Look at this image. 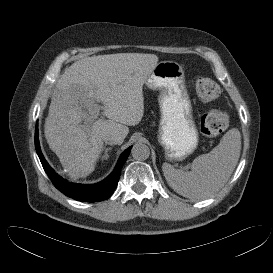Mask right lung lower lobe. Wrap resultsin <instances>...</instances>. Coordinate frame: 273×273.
Listing matches in <instances>:
<instances>
[{"label":"right lung lower lobe","mask_w":273,"mask_h":273,"mask_svg":"<svg viewBox=\"0 0 273 273\" xmlns=\"http://www.w3.org/2000/svg\"><path fill=\"white\" fill-rule=\"evenodd\" d=\"M35 147L39 159L42 163V166L47 173L48 177L51 179L54 186L60 190L66 196L85 202H96L102 201L111 196L113 191L115 190L117 183L120 178L121 168L125 163L131 147H129L126 151L122 153L120 156L118 163L113 170V172L102 182L93 185H81L76 183L68 182L67 180L60 177L55 171L50 167V165L45 160L39 145L38 139V125H36L35 129Z\"/></svg>","instance_id":"right-lung-lower-lobe-1"}]
</instances>
